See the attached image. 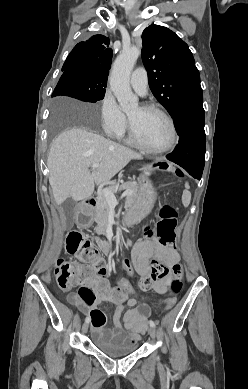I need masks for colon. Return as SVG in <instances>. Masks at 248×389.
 Instances as JSON below:
<instances>
[{"instance_id": "obj_1", "label": "colon", "mask_w": 248, "mask_h": 389, "mask_svg": "<svg viewBox=\"0 0 248 389\" xmlns=\"http://www.w3.org/2000/svg\"><path fill=\"white\" fill-rule=\"evenodd\" d=\"M177 177H181V173H176ZM177 213L176 210L169 205L163 206L159 212V218L155 227L148 226L145 230V235L149 238L157 237L158 241L163 246L174 247L176 238ZM66 250L71 255L78 257L82 264L58 260L55 268L56 282L62 289H69L73 286H79L78 294L82 301L88 305H92L96 300L103 299L113 302H122L125 299L123 293L118 290L111 289L106 285L108 269L104 265V260L100 252L92 246L89 240L79 232L69 233L66 237ZM125 267L121 269L123 274H127L129 279L134 278V265L129 264L127 259L123 260ZM183 267L180 264H175L168 267L165 264L153 261L151 271L139 281V288L142 291H149L156 281L169 276L168 297L160 298L158 309L166 310L172 308L175 303V297L182 287L181 277ZM121 285L124 292L131 298L143 299L146 293L134 291L135 287L128 279L117 281ZM154 298L153 296L149 297ZM145 297L143 302L148 304L150 299ZM156 299L159 297L156 296ZM90 321L94 328H102L106 322L105 314L94 309L90 314Z\"/></svg>"}]
</instances>
